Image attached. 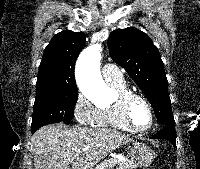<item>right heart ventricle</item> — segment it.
<instances>
[{
  "instance_id": "obj_1",
  "label": "right heart ventricle",
  "mask_w": 200,
  "mask_h": 169,
  "mask_svg": "<svg viewBox=\"0 0 200 169\" xmlns=\"http://www.w3.org/2000/svg\"><path fill=\"white\" fill-rule=\"evenodd\" d=\"M109 85L118 93V96L130 91L124 80L121 82H111ZM95 125L98 127L131 131L121 119L117 100L108 106L98 109Z\"/></svg>"
}]
</instances>
